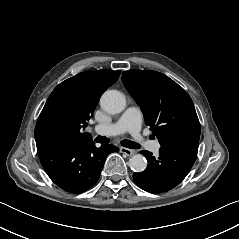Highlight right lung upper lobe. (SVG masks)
Returning <instances> with one entry per match:
<instances>
[{"instance_id":"right-lung-upper-lobe-1","label":"right lung upper lobe","mask_w":239,"mask_h":239,"mask_svg":"<svg viewBox=\"0 0 239 239\" xmlns=\"http://www.w3.org/2000/svg\"><path fill=\"white\" fill-rule=\"evenodd\" d=\"M119 75L120 71H87L60 83L38 118L36 145L50 140L68 143L92 140L91 135L83 133L81 128L87 126L100 96Z\"/></svg>"}]
</instances>
